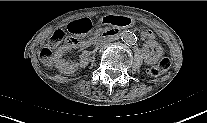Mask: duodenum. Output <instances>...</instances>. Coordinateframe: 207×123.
Masks as SVG:
<instances>
[{
  "label": "duodenum",
  "instance_id": "1",
  "mask_svg": "<svg viewBox=\"0 0 207 123\" xmlns=\"http://www.w3.org/2000/svg\"><path fill=\"white\" fill-rule=\"evenodd\" d=\"M119 34V31L117 29H109L99 35H97L94 38V41H99V40H108L110 38H113Z\"/></svg>",
  "mask_w": 207,
  "mask_h": 123
}]
</instances>
